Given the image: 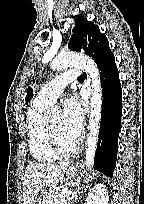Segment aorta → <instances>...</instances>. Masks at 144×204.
Returning a JSON list of instances; mask_svg holds the SVG:
<instances>
[{"label": "aorta", "instance_id": "762f6f07", "mask_svg": "<svg viewBox=\"0 0 144 204\" xmlns=\"http://www.w3.org/2000/svg\"><path fill=\"white\" fill-rule=\"evenodd\" d=\"M73 66L83 69L91 79L92 93L90 98V116L85 155V165L89 170L94 164L101 122L103 103L101 79L96 63L87 56L76 53H62L57 55L52 61V68L55 70L66 69ZM59 113L58 108H53L50 111V115L52 116Z\"/></svg>", "mask_w": 144, "mask_h": 204}]
</instances>
